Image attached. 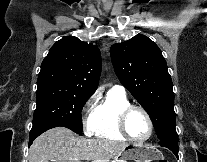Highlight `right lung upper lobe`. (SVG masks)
<instances>
[{"mask_svg": "<svg viewBox=\"0 0 207 162\" xmlns=\"http://www.w3.org/2000/svg\"><path fill=\"white\" fill-rule=\"evenodd\" d=\"M100 73L99 49L77 37L66 36L52 46L43 60L37 87L91 96L97 89Z\"/></svg>", "mask_w": 207, "mask_h": 162, "instance_id": "right-lung-upper-lobe-1", "label": "right lung upper lobe"}]
</instances>
